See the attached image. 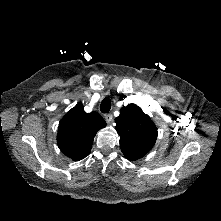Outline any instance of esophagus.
Wrapping results in <instances>:
<instances>
[{"mask_svg": "<svg viewBox=\"0 0 221 221\" xmlns=\"http://www.w3.org/2000/svg\"><path fill=\"white\" fill-rule=\"evenodd\" d=\"M104 119L106 120L107 123H109L112 121L113 115L111 113H107L104 115Z\"/></svg>", "mask_w": 221, "mask_h": 221, "instance_id": "1", "label": "esophagus"}]
</instances>
